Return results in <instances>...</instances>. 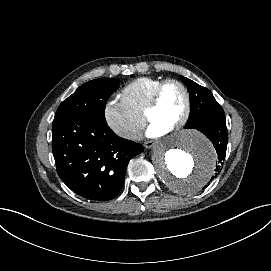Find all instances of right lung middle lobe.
Here are the masks:
<instances>
[{"label":"right lung middle lobe","mask_w":271,"mask_h":271,"mask_svg":"<svg viewBox=\"0 0 271 271\" xmlns=\"http://www.w3.org/2000/svg\"><path fill=\"white\" fill-rule=\"evenodd\" d=\"M118 87L119 81L113 78H99L83 84L60 104L53 125L74 117L105 121L106 101Z\"/></svg>","instance_id":"obj_1"}]
</instances>
